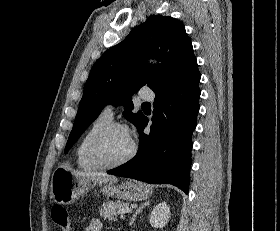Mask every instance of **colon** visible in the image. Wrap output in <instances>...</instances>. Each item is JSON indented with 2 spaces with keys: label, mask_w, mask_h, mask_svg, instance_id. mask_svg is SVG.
<instances>
[{
  "label": "colon",
  "mask_w": 280,
  "mask_h": 231,
  "mask_svg": "<svg viewBox=\"0 0 280 231\" xmlns=\"http://www.w3.org/2000/svg\"><path fill=\"white\" fill-rule=\"evenodd\" d=\"M50 213H52L53 220H59L58 221V224H59L58 230L71 231V225H70L71 221L68 220L66 208H62L61 206H60V208H50Z\"/></svg>",
  "instance_id": "colon-1"
}]
</instances>
